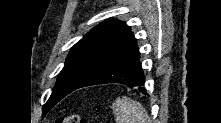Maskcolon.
<instances>
[{"mask_svg":"<svg viewBox=\"0 0 221 123\" xmlns=\"http://www.w3.org/2000/svg\"><path fill=\"white\" fill-rule=\"evenodd\" d=\"M56 123H89L87 119L78 114H70L60 116L56 119Z\"/></svg>","mask_w":221,"mask_h":123,"instance_id":"colon-1","label":"colon"}]
</instances>
